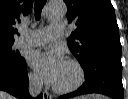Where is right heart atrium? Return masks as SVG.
<instances>
[{"mask_svg":"<svg viewBox=\"0 0 128 99\" xmlns=\"http://www.w3.org/2000/svg\"><path fill=\"white\" fill-rule=\"evenodd\" d=\"M29 82L31 85L38 87L42 84V78L36 72H30L28 75Z\"/></svg>","mask_w":128,"mask_h":99,"instance_id":"right-heart-atrium-1","label":"right heart atrium"}]
</instances>
